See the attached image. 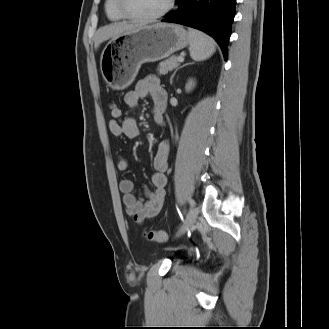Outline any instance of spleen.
<instances>
[{
	"instance_id": "1",
	"label": "spleen",
	"mask_w": 329,
	"mask_h": 329,
	"mask_svg": "<svg viewBox=\"0 0 329 329\" xmlns=\"http://www.w3.org/2000/svg\"><path fill=\"white\" fill-rule=\"evenodd\" d=\"M188 36L190 56L193 60H206L216 51L214 40L205 33L189 29Z\"/></svg>"
}]
</instances>
